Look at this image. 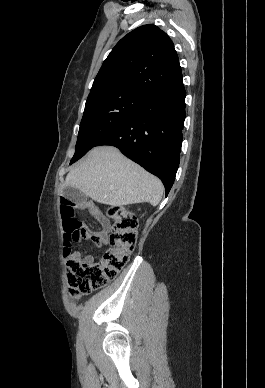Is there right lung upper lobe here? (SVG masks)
Wrapping results in <instances>:
<instances>
[{"label": "right lung upper lobe", "mask_w": 265, "mask_h": 388, "mask_svg": "<svg viewBox=\"0 0 265 388\" xmlns=\"http://www.w3.org/2000/svg\"><path fill=\"white\" fill-rule=\"evenodd\" d=\"M181 80L173 42L157 26L149 24L131 31L116 44L100 68L90 94L124 91L146 97Z\"/></svg>", "instance_id": "1"}]
</instances>
